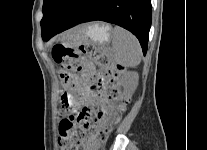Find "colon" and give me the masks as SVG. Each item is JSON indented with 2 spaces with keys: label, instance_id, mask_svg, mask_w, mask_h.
<instances>
[{
  "label": "colon",
  "instance_id": "1",
  "mask_svg": "<svg viewBox=\"0 0 207 150\" xmlns=\"http://www.w3.org/2000/svg\"><path fill=\"white\" fill-rule=\"evenodd\" d=\"M52 58L60 67V75L62 77L63 86L59 91L61 96L58 107L57 116L63 119L59 122V146L60 150H78L84 144L87 132H91L92 139L100 144L105 141L109 130L108 123H105L102 113L95 115L92 107L82 106L74 113L68 116V111L71 107L76 106V99H70L72 96V87L76 86L74 77H70L71 73L81 70L80 61L84 58H89L97 65L105 68L108 71V84L110 93L109 100L114 103L115 112H123L126 107V102H122L120 92L119 75L122 67L114 64L109 57L100 49L91 44H83L76 48H71L66 45H55L52 48ZM95 75L89 74V79L93 80ZM93 89L100 90L99 85H93Z\"/></svg>",
  "mask_w": 207,
  "mask_h": 150
}]
</instances>
